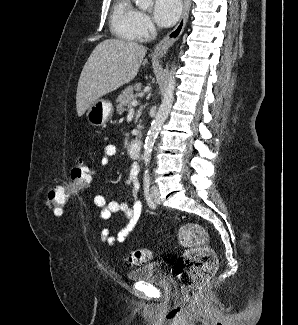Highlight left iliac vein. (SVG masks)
<instances>
[{"mask_svg": "<svg viewBox=\"0 0 298 325\" xmlns=\"http://www.w3.org/2000/svg\"><path fill=\"white\" fill-rule=\"evenodd\" d=\"M151 196L155 203L159 204L160 203V198H159V189L156 185H153L151 187Z\"/></svg>", "mask_w": 298, "mask_h": 325, "instance_id": "left-iliac-vein-1", "label": "left iliac vein"}]
</instances>
